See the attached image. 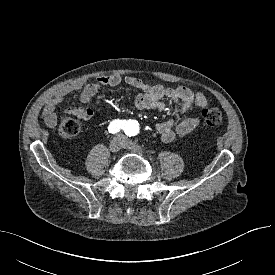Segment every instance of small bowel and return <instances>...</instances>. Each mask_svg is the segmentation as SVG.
<instances>
[{"mask_svg":"<svg viewBox=\"0 0 275 275\" xmlns=\"http://www.w3.org/2000/svg\"><path fill=\"white\" fill-rule=\"evenodd\" d=\"M125 84L137 88L140 92L136 95L133 107L137 110L155 109L162 111L167 106V100L175 104L176 111L180 114L189 110H203L208 107V100L203 93L194 92L186 86L168 88L161 84L150 85L142 79L134 76L121 77L120 75H107L99 77L95 82L85 83L83 79H76L56 90L47 100L42 118L49 127H54L57 123L59 113L57 106L64 99L74 92L80 91V102L82 106L77 108H67L64 114H70L81 120L88 121L94 116V110L87 106L92 97L104 86H118ZM200 123L198 117L188 116L179 123L173 119L159 122L155 129L164 142H171L176 136H185L195 130Z\"/></svg>","mask_w":275,"mask_h":275,"instance_id":"small-bowel-1","label":"small bowel"}]
</instances>
